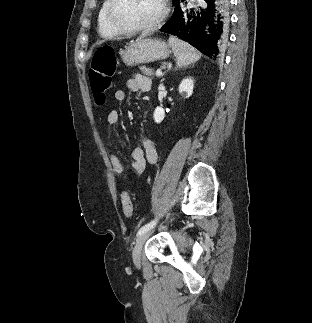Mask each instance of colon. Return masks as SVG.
I'll return each instance as SVG.
<instances>
[{"instance_id": "colon-1", "label": "colon", "mask_w": 312, "mask_h": 323, "mask_svg": "<svg viewBox=\"0 0 312 323\" xmlns=\"http://www.w3.org/2000/svg\"><path fill=\"white\" fill-rule=\"evenodd\" d=\"M116 76L115 50L112 46H103L96 50L92 57L89 79L91 90L99 102L106 98L105 92L112 84V78ZM122 205L124 216H133V202L131 193H124Z\"/></svg>"}]
</instances>
